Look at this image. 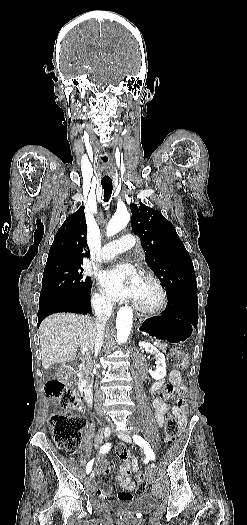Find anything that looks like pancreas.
<instances>
[{
  "mask_svg": "<svg viewBox=\"0 0 247 525\" xmlns=\"http://www.w3.org/2000/svg\"><path fill=\"white\" fill-rule=\"evenodd\" d=\"M159 347H160V351L162 353H165L167 351L168 345H166V343H163V345H159Z\"/></svg>",
  "mask_w": 247,
  "mask_h": 525,
  "instance_id": "obj_1",
  "label": "pancreas"
}]
</instances>
